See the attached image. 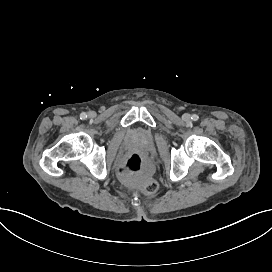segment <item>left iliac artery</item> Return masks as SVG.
<instances>
[{
  "label": "left iliac artery",
  "instance_id": "obj_1",
  "mask_svg": "<svg viewBox=\"0 0 272 272\" xmlns=\"http://www.w3.org/2000/svg\"><path fill=\"white\" fill-rule=\"evenodd\" d=\"M191 119H192L193 121H197V120L199 119V117H198V115L193 114L192 117H191Z\"/></svg>",
  "mask_w": 272,
  "mask_h": 272
}]
</instances>
